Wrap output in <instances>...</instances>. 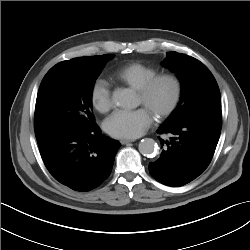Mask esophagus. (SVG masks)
Segmentation results:
<instances>
[{
  "mask_svg": "<svg viewBox=\"0 0 250 250\" xmlns=\"http://www.w3.org/2000/svg\"><path fill=\"white\" fill-rule=\"evenodd\" d=\"M135 140H130V139H121L120 140V143L122 145H125V144H128V143H131V142H134Z\"/></svg>",
  "mask_w": 250,
  "mask_h": 250,
  "instance_id": "esophagus-1",
  "label": "esophagus"
}]
</instances>
